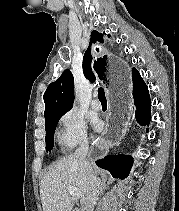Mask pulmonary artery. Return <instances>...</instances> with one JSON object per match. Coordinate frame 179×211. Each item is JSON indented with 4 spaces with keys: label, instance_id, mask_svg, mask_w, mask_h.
<instances>
[{
    "label": "pulmonary artery",
    "instance_id": "e3ab8cb5",
    "mask_svg": "<svg viewBox=\"0 0 179 211\" xmlns=\"http://www.w3.org/2000/svg\"><path fill=\"white\" fill-rule=\"evenodd\" d=\"M91 107H92L94 110H96V111H99V110H101V108H102L101 102L98 100L96 94L94 95V98H93V100H92V102H91Z\"/></svg>",
    "mask_w": 179,
    "mask_h": 211
}]
</instances>
